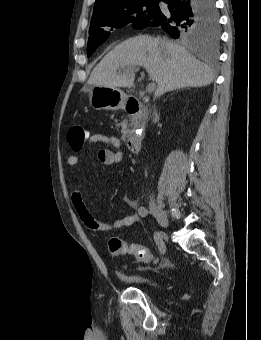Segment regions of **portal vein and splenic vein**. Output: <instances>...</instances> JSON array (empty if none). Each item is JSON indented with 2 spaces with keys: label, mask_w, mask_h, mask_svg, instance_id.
<instances>
[{
  "label": "portal vein and splenic vein",
  "mask_w": 261,
  "mask_h": 340,
  "mask_svg": "<svg viewBox=\"0 0 261 340\" xmlns=\"http://www.w3.org/2000/svg\"><path fill=\"white\" fill-rule=\"evenodd\" d=\"M130 70H133V68H130ZM155 88H156V84L155 83H150L147 86L146 91H147V93H152V92H154Z\"/></svg>",
  "instance_id": "obj_1"
}]
</instances>
